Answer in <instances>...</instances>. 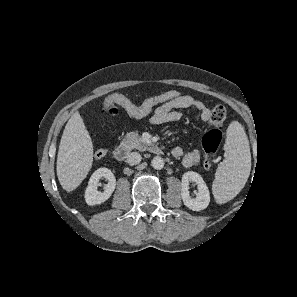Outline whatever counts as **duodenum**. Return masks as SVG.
Here are the masks:
<instances>
[{
    "label": "duodenum",
    "mask_w": 297,
    "mask_h": 297,
    "mask_svg": "<svg viewBox=\"0 0 297 297\" xmlns=\"http://www.w3.org/2000/svg\"><path fill=\"white\" fill-rule=\"evenodd\" d=\"M150 150L152 153H154L156 155H161L164 153V150L159 146H151ZM129 152H130V149H129L128 145L121 144L113 150V157L117 161L122 162L127 158Z\"/></svg>",
    "instance_id": "1"
}]
</instances>
